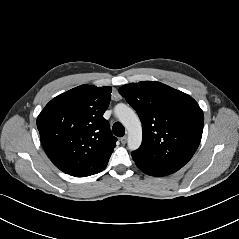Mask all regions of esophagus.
<instances>
[{
    "instance_id": "1",
    "label": "esophagus",
    "mask_w": 239,
    "mask_h": 239,
    "mask_svg": "<svg viewBox=\"0 0 239 239\" xmlns=\"http://www.w3.org/2000/svg\"><path fill=\"white\" fill-rule=\"evenodd\" d=\"M122 144H125L127 142V136H124L120 139Z\"/></svg>"
}]
</instances>
